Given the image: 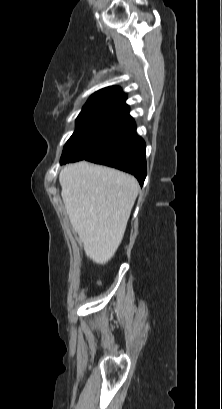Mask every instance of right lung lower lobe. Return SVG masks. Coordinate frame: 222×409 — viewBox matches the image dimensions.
<instances>
[{"label": "right lung lower lobe", "instance_id": "right-lung-lower-lobe-1", "mask_svg": "<svg viewBox=\"0 0 222 409\" xmlns=\"http://www.w3.org/2000/svg\"><path fill=\"white\" fill-rule=\"evenodd\" d=\"M85 160L128 172L143 185L146 177L145 142L136 134L134 120L128 111L113 126L103 145Z\"/></svg>", "mask_w": 222, "mask_h": 409}]
</instances>
